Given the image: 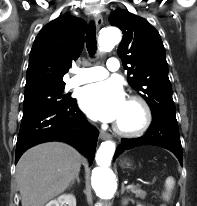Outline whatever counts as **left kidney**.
Instances as JSON below:
<instances>
[{"mask_svg":"<svg viewBox=\"0 0 197 206\" xmlns=\"http://www.w3.org/2000/svg\"><path fill=\"white\" fill-rule=\"evenodd\" d=\"M123 203L126 204V203H127V200H124ZM137 206H141V205H137Z\"/></svg>","mask_w":197,"mask_h":206,"instance_id":"obj_1","label":"left kidney"}]
</instances>
